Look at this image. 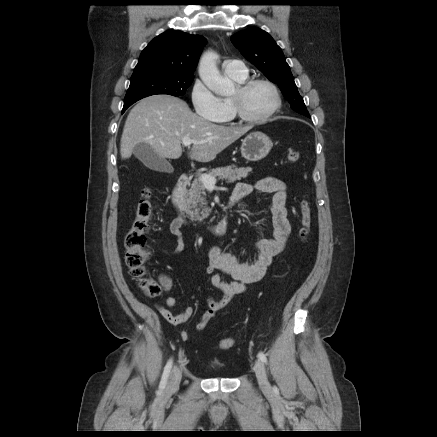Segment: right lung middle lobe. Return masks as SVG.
<instances>
[{"instance_id": "obj_1", "label": "right lung middle lobe", "mask_w": 437, "mask_h": 437, "mask_svg": "<svg viewBox=\"0 0 437 437\" xmlns=\"http://www.w3.org/2000/svg\"><path fill=\"white\" fill-rule=\"evenodd\" d=\"M194 76H178L163 73L155 69L136 71L125 96L122 113L136 101L151 95H184Z\"/></svg>"}]
</instances>
